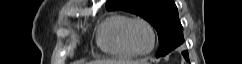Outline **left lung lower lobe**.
<instances>
[{"label":"left lung lower lobe","mask_w":242,"mask_h":64,"mask_svg":"<svg viewBox=\"0 0 242 64\" xmlns=\"http://www.w3.org/2000/svg\"><path fill=\"white\" fill-rule=\"evenodd\" d=\"M182 54H183L184 58H185L187 61H189V55H188V52H187V51H184V52H182Z\"/></svg>","instance_id":"1"}]
</instances>
